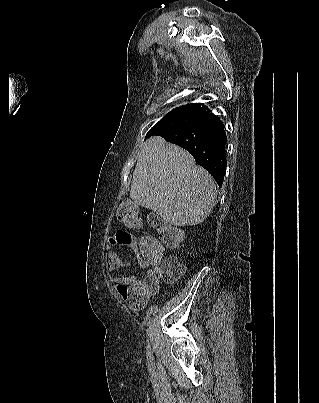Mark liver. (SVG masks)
Wrapping results in <instances>:
<instances>
[{
	"mask_svg": "<svg viewBox=\"0 0 319 403\" xmlns=\"http://www.w3.org/2000/svg\"><path fill=\"white\" fill-rule=\"evenodd\" d=\"M130 197L174 226H193L210 214L217 198L211 175L182 148L153 136L142 146Z\"/></svg>",
	"mask_w": 319,
	"mask_h": 403,
	"instance_id": "liver-1",
	"label": "liver"
}]
</instances>
